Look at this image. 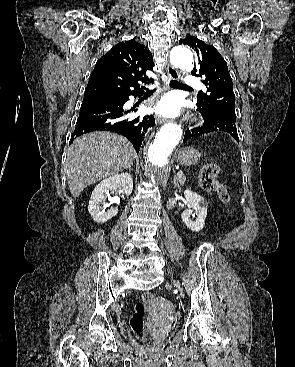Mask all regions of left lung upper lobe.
<instances>
[{
	"mask_svg": "<svg viewBox=\"0 0 295 367\" xmlns=\"http://www.w3.org/2000/svg\"><path fill=\"white\" fill-rule=\"evenodd\" d=\"M179 44L189 45L197 53L198 66L193 69L192 74L204 79L202 82L208 92L197 98L198 108L208 113L225 111L235 115L232 78L224 58L213 46L195 36H187Z\"/></svg>",
	"mask_w": 295,
	"mask_h": 367,
	"instance_id": "left-lung-upper-lobe-1",
	"label": "left lung upper lobe"
}]
</instances>
